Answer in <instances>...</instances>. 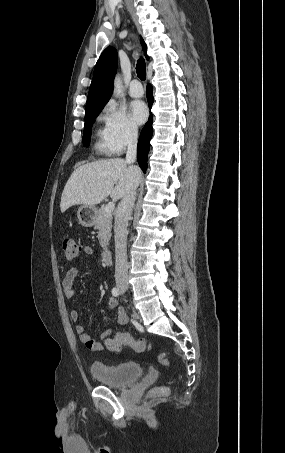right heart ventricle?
I'll return each instance as SVG.
<instances>
[{"instance_id": "right-heart-ventricle-1", "label": "right heart ventricle", "mask_w": 285, "mask_h": 453, "mask_svg": "<svg viewBox=\"0 0 285 453\" xmlns=\"http://www.w3.org/2000/svg\"><path fill=\"white\" fill-rule=\"evenodd\" d=\"M97 135L99 137V140L96 142L95 147L99 151L107 152L106 151V146H105V143H104V138H103V131H98Z\"/></svg>"}]
</instances>
